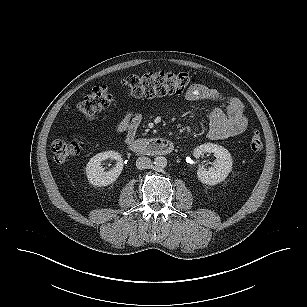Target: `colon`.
Segmentation results:
<instances>
[{"label": "colon", "instance_id": "1", "mask_svg": "<svg viewBox=\"0 0 307 307\" xmlns=\"http://www.w3.org/2000/svg\"><path fill=\"white\" fill-rule=\"evenodd\" d=\"M123 85L134 97L152 98L188 92L194 87L195 80L185 73L151 71L127 76L123 80ZM112 101L113 96L106 87H97L81 101L79 111L86 119L91 120ZM82 147L83 141L80 138L61 136L53 142L52 152L57 162H64L77 154ZM250 147L254 151H259L263 147L262 136L256 129L251 133Z\"/></svg>", "mask_w": 307, "mask_h": 307}]
</instances>
